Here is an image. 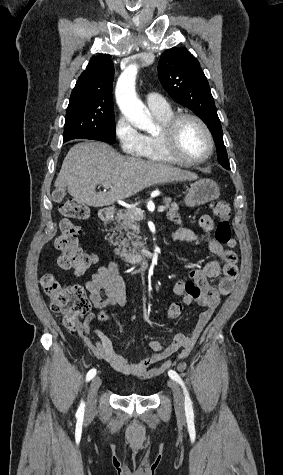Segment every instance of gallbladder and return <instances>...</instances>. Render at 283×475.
<instances>
[{"mask_svg": "<svg viewBox=\"0 0 283 475\" xmlns=\"http://www.w3.org/2000/svg\"><path fill=\"white\" fill-rule=\"evenodd\" d=\"M66 196V190H55L52 192V200L53 202H62L63 198Z\"/></svg>", "mask_w": 283, "mask_h": 475, "instance_id": "1", "label": "gallbladder"}]
</instances>
